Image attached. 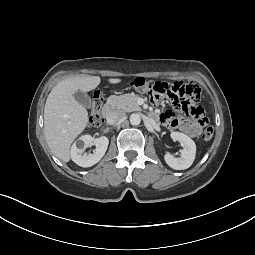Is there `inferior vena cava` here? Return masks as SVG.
Wrapping results in <instances>:
<instances>
[{"label": "inferior vena cava", "mask_w": 255, "mask_h": 255, "mask_svg": "<svg viewBox=\"0 0 255 255\" xmlns=\"http://www.w3.org/2000/svg\"><path fill=\"white\" fill-rule=\"evenodd\" d=\"M126 114L123 111H113L107 116L108 124H115L122 121L125 118Z\"/></svg>", "instance_id": "602c4592"}]
</instances>
